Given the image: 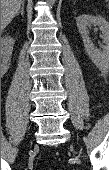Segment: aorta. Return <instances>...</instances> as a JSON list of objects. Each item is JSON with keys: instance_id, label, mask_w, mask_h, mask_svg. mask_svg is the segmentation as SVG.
<instances>
[{"instance_id": "aorta-1", "label": "aorta", "mask_w": 109, "mask_h": 170, "mask_svg": "<svg viewBox=\"0 0 109 170\" xmlns=\"http://www.w3.org/2000/svg\"><path fill=\"white\" fill-rule=\"evenodd\" d=\"M56 0H49L50 3H54Z\"/></svg>"}]
</instances>
